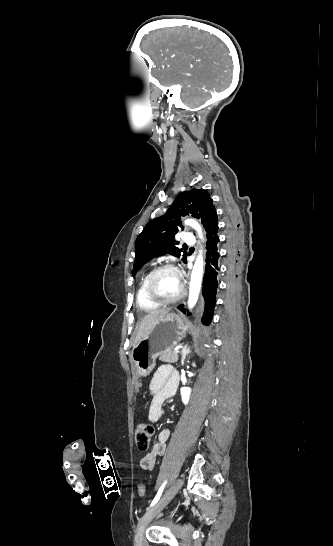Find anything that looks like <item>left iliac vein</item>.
I'll use <instances>...</instances> for the list:
<instances>
[{
	"label": "left iliac vein",
	"instance_id": "left-iliac-vein-1",
	"mask_svg": "<svg viewBox=\"0 0 333 546\" xmlns=\"http://www.w3.org/2000/svg\"><path fill=\"white\" fill-rule=\"evenodd\" d=\"M183 480L178 479L175 481L172 486L166 491L165 495L154 505L152 506L139 520L134 546H142L143 533L147 525L151 520L172 500V498L178 493L182 487Z\"/></svg>",
	"mask_w": 333,
	"mask_h": 546
}]
</instances>
